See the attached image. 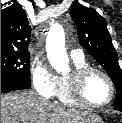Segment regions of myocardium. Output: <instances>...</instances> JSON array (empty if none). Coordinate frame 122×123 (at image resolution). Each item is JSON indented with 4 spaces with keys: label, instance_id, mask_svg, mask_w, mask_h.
Wrapping results in <instances>:
<instances>
[{
    "label": "myocardium",
    "instance_id": "1",
    "mask_svg": "<svg viewBox=\"0 0 122 123\" xmlns=\"http://www.w3.org/2000/svg\"><path fill=\"white\" fill-rule=\"evenodd\" d=\"M92 74H99L103 76L111 90L110 97L103 103H94L89 101L85 94H84V87L88 80V78ZM68 93L72 100L82 106L91 107V108H102L107 106L115 96V85L112 78L103 70L93 67V66H86L80 69L75 70L69 77H68Z\"/></svg>",
    "mask_w": 122,
    "mask_h": 123
}]
</instances>
